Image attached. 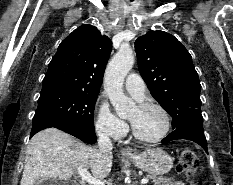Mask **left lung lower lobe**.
I'll return each mask as SVG.
<instances>
[{"label": "left lung lower lobe", "instance_id": "0a47b994", "mask_svg": "<svg viewBox=\"0 0 233 185\" xmlns=\"http://www.w3.org/2000/svg\"><path fill=\"white\" fill-rule=\"evenodd\" d=\"M202 120H196L192 121L181 128L176 129L172 133H170L163 141L162 143H166L172 140L177 139H187L192 140L196 143H198L200 146L204 148L206 153H208L207 150V142L204 135V130L202 127Z\"/></svg>", "mask_w": 233, "mask_h": 185}]
</instances>
